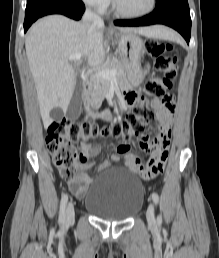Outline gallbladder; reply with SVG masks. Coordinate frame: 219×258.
<instances>
[{"label": "gallbladder", "mask_w": 219, "mask_h": 258, "mask_svg": "<svg viewBox=\"0 0 219 258\" xmlns=\"http://www.w3.org/2000/svg\"><path fill=\"white\" fill-rule=\"evenodd\" d=\"M83 96V85L81 80H77L75 89L66 111V116L70 120H76L81 114Z\"/></svg>", "instance_id": "bac80fb5"}]
</instances>
